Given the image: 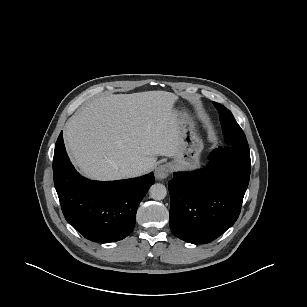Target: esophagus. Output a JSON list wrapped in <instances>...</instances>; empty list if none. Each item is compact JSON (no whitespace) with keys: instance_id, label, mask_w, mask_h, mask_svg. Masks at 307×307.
<instances>
[{"instance_id":"34e87169","label":"esophagus","mask_w":307,"mask_h":307,"mask_svg":"<svg viewBox=\"0 0 307 307\" xmlns=\"http://www.w3.org/2000/svg\"><path fill=\"white\" fill-rule=\"evenodd\" d=\"M170 166L168 164H162L155 170V178L161 180L169 175Z\"/></svg>"}]
</instances>
